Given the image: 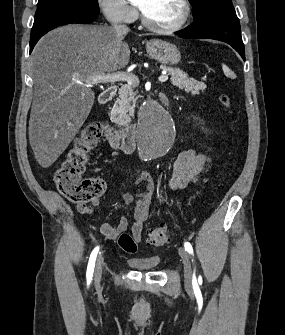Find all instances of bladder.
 <instances>
[{"mask_svg": "<svg viewBox=\"0 0 285 335\" xmlns=\"http://www.w3.org/2000/svg\"><path fill=\"white\" fill-rule=\"evenodd\" d=\"M161 257L153 256L151 258H126L125 264L130 265L136 270H154L155 265H160Z\"/></svg>", "mask_w": 285, "mask_h": 335, "instance_id": "31cf9c89", "label": "bladder"}]
</instances>
